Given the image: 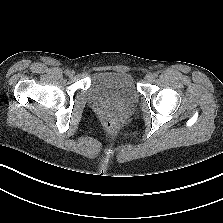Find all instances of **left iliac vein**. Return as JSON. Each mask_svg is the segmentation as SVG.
<instances>
[{"label":"left iliac vein","mask_w":223,"mask_h":223,"mask_svg":"<svg viewBox=\"0 0 223 223\" xmlns=\"http://www.w3.org/2000/svg\"><path fill=\"white\" fill-rule=\"evenodd\" d=\"M153 78H154L153 74L152 73H148L145 76V81L146 82H151L153 80Z\"/></svg>","instance_id":"1"}]
</instances>
